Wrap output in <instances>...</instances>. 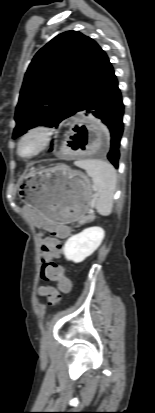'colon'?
Wrapping results in <instances>:
<instances>
[{"label":"colon","mask_w":155,"mask_h":413,"mask_svg":"<svg viewBox=\"0 0 155 413\" xmlns=\"http://www.w3.org/2000/svg\"><path fill=\"white\" fill-rule=\"evenodd\" d=\"M59 247L58 240L53 237L47 239L41 247L40 277L44 281H56V286L59 287V290L68 292L69 290H72V281L69 278V275L64 273L63 267L54 261V257L58 255ZM47 297L50 303H56L60 299L57 290L50 291Z\"/></svg>","instance_id":"obj_1"}]
</instances>
